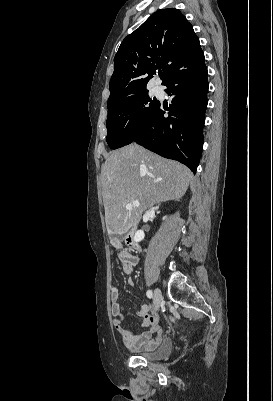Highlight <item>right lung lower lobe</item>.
<instances>
[{"label":"right lung lower lobe","mask_w":273,"mask_h":401,"mask_svg":"<svg viewBox=\"0 0 273 401\" xmlns=\"http://www.w3.org/2000/svg\"><path fill=\"white\" fill-rule=\"evenodd\" d=\"M169 107L157 106L151 119L137 132L132 142L188 166L194 173L203 146L202 128L207 107V68L204 60L184 65L163 84ZM169 116L165 117L164 114Z\"/></svg>","instance_id":"obj_1"}]
</instances>
